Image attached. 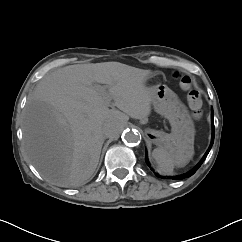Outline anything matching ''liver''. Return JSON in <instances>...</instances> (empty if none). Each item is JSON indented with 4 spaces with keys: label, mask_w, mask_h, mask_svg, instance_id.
Masks as SVG:
<instances>
[{
    "label": "liver",
    "mask_w": 242,
    "mask_h": 242,
    "mask_svg": "<svg viewBox=\"0 0 242 242\" xmlns=\"http://www.w3.org/2000/svg\"><path fill=\"white\" fill-rule=\"evenodd\" d=\"M152 72L119 62L69 65L48 73L28 96L22 131L34 167L49 183L80 186L94 173L112 118L144 120L151 113V92L145 85ZM95 83L105 84L109 103Z\"/></svg>",
    "instance_id": "obj_1"
}]
</instances>
